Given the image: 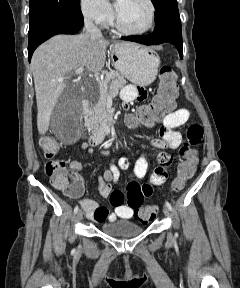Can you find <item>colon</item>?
<instances>
[{"instance_id":"obj_1","label":"colon","mask_w":240,"mask_h":288,"mask_svg":"<svg viewBox=\"0 0 240 288\" xmlns=\"http://www.w3.org/2000/svg\"><path fill=\"white\" fill-rule=\"evenodd\" d=\"M177 94L176 74L169 65H163L159 71V86L156 95L150 103L140 107L135 116L129 118V121L145 126L153 125L173 111ZM40 144L48 159L45 172L51 184L67 195L79 194L83 185L68 171L65 162L56 157L59 151L57 141L52 137L45 136L40 140ZM196 165V152L190 147V144L185 143L180 150L178 174L171 186L173 192L181 191L184 188L186 182L194 175ZM126 200L128 205L134 209V216L139 221L148 222L156 217L157 207L142 206L143 198L138 191H129Z\"/></svg>"}]
</instances>
